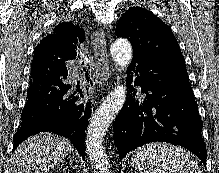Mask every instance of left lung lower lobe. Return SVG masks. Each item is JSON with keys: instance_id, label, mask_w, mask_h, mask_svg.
<instances>
[{"instance_id": "0a47b994", "label": "left lung lower lobe", "mask_w": 219, "mask_h": 173, "mask_svg": "<svg viewBox=\"0 0 219 173\" xmlns=\"http://www.w3.org/2000/svg\"><path fill=\"white\" fill-rule=\"evenodd\" d=\"M126 81L128 97L114 122V142L120 158L148 142L163 141L187 148L206 166L203 122L186 67L134 54ZM132 81L146 94L143 101L134 98Z\"/></svg>"}]
</instances>
